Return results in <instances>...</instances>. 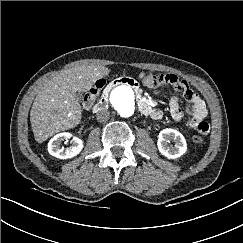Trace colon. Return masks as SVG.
<instances>
[{"label":"colon","mask_w":243,"mask_h":243,"mask_svg":"<svg viewBox=\"0 0 243 243\" xmlns=\"http://www.w3.org/2000/svg\"><path fill=\"white\" fill-rule=\"evenodd\" d=\"M140 79L143 84L148 88H157L167 83V78L164 75H155V74H141ZM104 80H98L95 85L87 92L85 95V103L90 105L98 95V93L104 87ZM192 141L195 144L202 143V137L199 135H194Z\"/></svg>","instance_id":"colon-1"}]
</instances>
